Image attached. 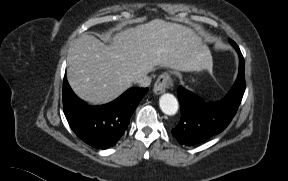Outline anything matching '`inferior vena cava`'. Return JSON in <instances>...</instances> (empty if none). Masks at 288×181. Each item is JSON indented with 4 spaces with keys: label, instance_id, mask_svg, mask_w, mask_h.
<instances>
[{
    "label": "inferior vena cava",
    "instance_id": "1",
    "mask_svg": "<svg viewBox=\"0 0 288 181\" xmlns=\"http://www.w3.org/2000/svg\"><path fill=\"white\" fill-rule=\"evenodd\" d=\"M134 83L138 84L140 87H148L151 83V77H149L147 74L138 76Z\"/></svg>",
    "mask_w": 288,
    "mask_h": 181
}]
</instances>
